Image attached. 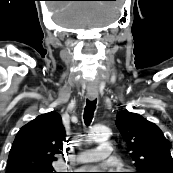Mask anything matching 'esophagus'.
<instances>
[{
	"label": "esophagus",
	"instance_id": "34e87169",
	"mask_svg": "<svg viewBox=\"0 0 173 173\" xmlns=\"http://www.w3.org/2000/svg\"><path fill=\"white\" fill-rule=\"evenodd\" d=\"M87 97H88V99L89 100H95L97 97H98V92H91V91H89L88 93H87Z\"/></svg>",
	"mask_w": 173,
	"mask_h": 173
}]
</instances>
